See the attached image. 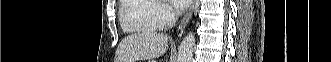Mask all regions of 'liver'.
Instances as JSON below:
<instances>
[{"mask_svg":"<svg viewBox=\"0 0 331 62\" xmlns=\"http://www.w3.org/2000/svg\"><path fill=\"white\" fill-rule=\"evenodd\" d=\"M168 36L144 31L125 37L119 44L115 62H136L162 56L167 49Z\"/></svg>","mask_w":331,"mask_h":62,"instance_id":"liver-1","label":"liver"}]
</instances>
